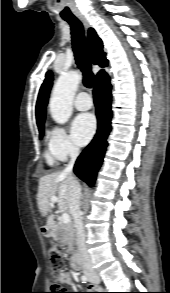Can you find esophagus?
I'll use <instances>...</instances> for the list:
<instances>
[{
  "instance_id": "1",
  "label": "esophagus",
  "mask_w": 170,
  "mask_h": 293,
  "mask_svg": "<svg viewBox=\"0 0 170 293\" xmlns=\"http://www.w3.org/2000/svg\"><path fill=\"white\" fill-rule=\"evenodd\" d=\"M78 18L83 23L84 27L87 29L89 27L87 19L83 15H79Z\"/></svg>"
}]
</instances>
